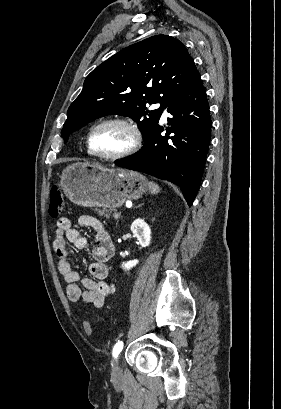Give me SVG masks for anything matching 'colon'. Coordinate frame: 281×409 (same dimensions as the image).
<instances>
[{
    "instance_id": "obj_1",
    "label": "colon",
    "mask_w": 281,
    "mask_h": 409,
    "mask_svg": "<svg viewBox=\"0 0 281 409\" xmlns=\"http://www.w3.org/2000/svg\"><path fill=\"white\" fill-rule=\"evenodd\" d=\"M51 200L49 205V211L52 216H58L61 214L64 208V199L62 193V187L59 184L53 185L50 191ZM84 327L86 329L87 335L93 334V329L90 323H85Z\"/></svg>"
}]
</instances>
